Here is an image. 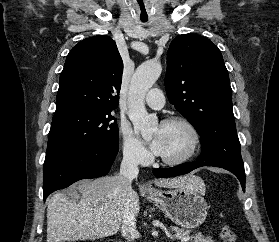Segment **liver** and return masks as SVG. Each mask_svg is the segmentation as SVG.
Listing matches in <instances>:
<instances>
[{
    "label": "liver",
    "instance_id": "liver-1",
    "mask_svg": "<svg viewBox=\"0 0 279 242\" xmlns=\"http://www.w3.org/2000/svg\"><path fill=\"white\" fill-rule=\"evenodd\" d=\"M121 182L120 175L105 176L80 181L69 192L53 194L47 202V242L94 240L116 234L124 211ZM154 183L159 187L205 192L204 182L194 176L155 179ZM130 205L137 216L140 204L135 191Z\"/></svg>",
    "mask_w": 279,
    "mask_h": 242
}]
</instances>
